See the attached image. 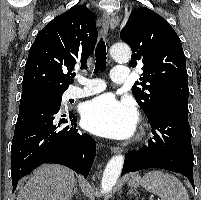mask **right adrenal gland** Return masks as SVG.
I'll use <instances>...</instances> for the list:
<instances>
[{"label":"right adrenal gland","mask_w":201,"mask_h":200,"mask_svg":"<svg viewBox=\"0 0 201 200\" xmlns=\"http://www.w3.org/2000/svg\"><path fill=\"white\" fill-rule=\"evenodd\" d=\"M75 194H78L77 184H75L74 190H73V192H72V194H71V196H70V200H72V198H73V196H74Z\"/></svg>","instance_id":"1"}]
</instances>
